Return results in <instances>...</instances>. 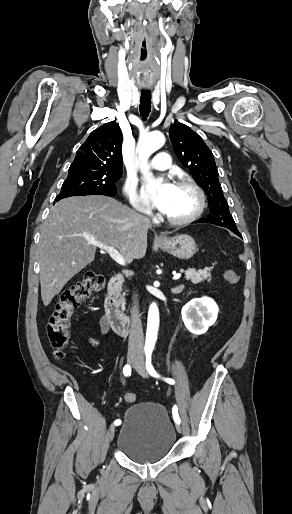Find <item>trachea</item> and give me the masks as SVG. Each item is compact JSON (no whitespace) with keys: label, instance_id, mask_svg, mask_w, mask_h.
<instances>
[{"label":"trachea","instance_id":"1","mask_svg":"<svg viewBox=\"0 0 292 514\" xmlns=\"http://www.w3.org/2000/svg\"><path fill=\"white\" fill-rule=\"evenodd\" d=\"M151 98V91H141L139 110L143 120H146L150 114L152 103Z\"/></svg>","mask_w":292,"mask_h":514}]
</instances>
